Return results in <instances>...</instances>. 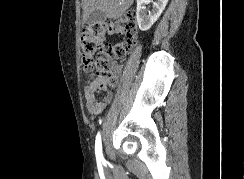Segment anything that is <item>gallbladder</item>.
Returning <instances> with one entry per match:
<instances>
[{
    "label": "gallbladder",
    "mask_w": 244,
    "mask_h": 179,
    "mask_svg": "<svg viewBox=\"0 0 244 179\" xmlns=\"http://www.w3.org/2000/svg\"><path fill=\"white\" fill-rule=\"evenodd\" d=\"M106 14L104 12H100V10H94L92 14H90L89 18H87V24H102L105 22Z\"/></svg>",
    "instance_id": "gallbladder-1"
}]
</instances>
